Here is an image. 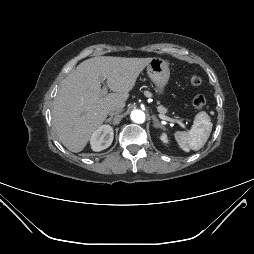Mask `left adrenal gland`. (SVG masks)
Wrapping results in <instances>:
<instances>
[{
	"label": "left adrenal gland",
	"mask_w": 254,
	"mask_h": 254,
	"mask_svg": "<svg viewBox=\"0 0 254 254\" xmlns=\"http://www.w3.org/2000/svg\"><path fill=\"white\" fill-rule=\"evenodd\" d=\"M152 119L154 122L153 126L155 128H162V129L164 128L163 125H161V123L159 122V120L157 119V117L155 115H152Z\"/></svg>",
	"instance_id": "1"
}]
</instances>
